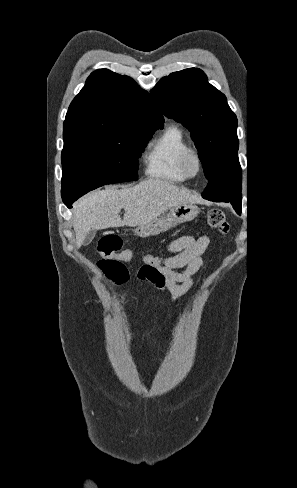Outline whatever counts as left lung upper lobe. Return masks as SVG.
<instances>
[{"instance_id":"left-lung-upper-lobe-1","label":"left lung upper lobe","mask_w":297,"mask_h":488,"mask_svg":"<svg viewBox=\"0 0 297 488\" xmlns=\"http://www.w3.org/2000/svg\"><path fill=\"white\" fill-rule=\"evenodd\" d=\"M159 109L191 133L208 184L205 199L227 202L241 210L242 180L237 157V117L224 94L204 72L188 68L163 77L151 90Z\"/></svg>"}]
</instances>
